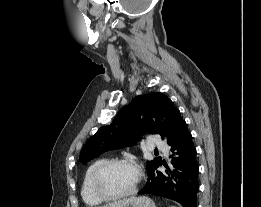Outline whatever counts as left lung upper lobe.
I'll return each instance as SVG.
<instances>
[{
  "mask_svg": "<svg viewBox=\"0 0 261 207\" xmlns=\"http://www.w3.org/2000/svg\"><path fill=\"white\" fill-rule=\"evenodd\" d=\"M180 111L162 93H149L135 97L122 108L112 123L101 127L85 143L79 161L84 163L98 157L103 152L136 144V137L144 132L160 134L169 144L182 122ZM161 158L147 163L151 172Z\"/></svg>",
  "mask_w": 261,
  "mask_h": 207,
  "instance_id": "1",
  "label": "left lung upper lobe"
}]
</instances>
